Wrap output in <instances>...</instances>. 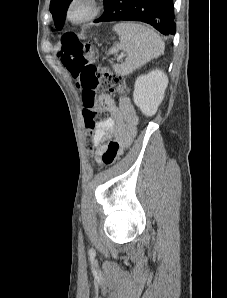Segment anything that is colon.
<instances>
[{
	"instance_id": "1",
	"label": "colon",
	"mask_w": 227,
	"mask_h": 298,
	"mask_svg": "<svg viewBox=\"0 0 227 298\" xmlns=\"http://www.w3.org/2000/svg\"><path fill=\"white\" fill-rule=\"evenodd\" d=\"M93 48L90 43L80 41L74 34L62 37L58 56L70 75L78 79L84 104V123L89 131L86 135L88 149L92 147L91 131L107 117L103 111L95 109L96 90L98 87L111 93H124L127 85L123 77L105 67L91 63Z\"/></svg>"
}]
</instances>
